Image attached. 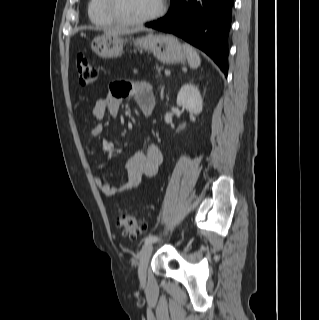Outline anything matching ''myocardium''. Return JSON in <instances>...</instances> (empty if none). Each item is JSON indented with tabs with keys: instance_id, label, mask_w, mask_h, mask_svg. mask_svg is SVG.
<instances>
[{
	"instance_id": "obj_1",
	"label": "myocardium",
	"mask_w": 319,
	"mask_h": 320,
	"mask_svg": "<svg viewBox=\"0 0 319 320\" xmlns=\"http://www.w3.org/2000/svg\"><path fill=\"white\" fill-rule=\"evenodd\" d=\"M114 2L115 0H104L105 12L114 22L123 25H138L156 20L164 15L167 7L166 0H160V5L154 13L142 18H126L117 12L114 7Z\"/></svg>"
}]
</instances>
